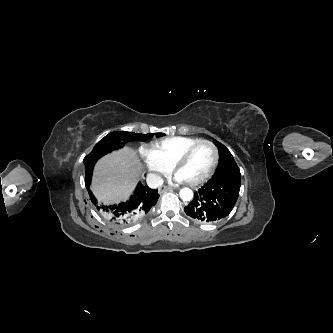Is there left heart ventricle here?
<instances>
[{"label": "left heart ventricle", "instance_id": "left-heart-ventricle-1", "mask_svg": "<svg viewBox=\"0 0 333 333\" xmlns=\"http://www.w3.org/2000/svg\"><path fill=\"white\" fill-rule=\"evenodd\" d=\"M215 158L214 150L211 146L202 144L196 147L190 154L188 160L179 169L178 175L184 181H192L203 176L212 166Z\"/></svg>", "mask_w": 333, "mask_h": 333}]
</instances>
